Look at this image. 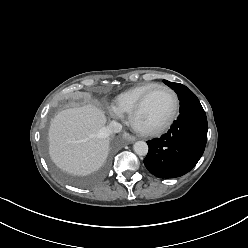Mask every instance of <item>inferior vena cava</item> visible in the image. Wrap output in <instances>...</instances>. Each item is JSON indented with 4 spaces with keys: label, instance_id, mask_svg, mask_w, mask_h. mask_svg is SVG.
<instances>
[{
    "label": "inferior vena cava",
    "instance_id": "1",
    "mask_svg": "<svg viewBox=\"0 0 248 248\" xmlns=\"http://www.w3.org/2000/svg\"><path fill=\"white\" fill-rule=\"evenodd\" d=\"M106 133L113 134V133H119L122 130V125L116 121H111L107 127L105 128Z\"/></svg>",
    "mask_w": 248,
    "mask_h": 248
}]
</instances>
